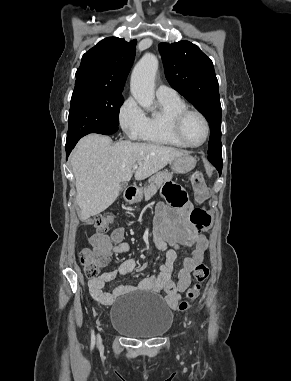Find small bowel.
<instances>
[{"label": "small bowel", "instance_id": "1", "mask_svg": "<svg viewBox=\"0 0 291 381\" xmlns=\"http://www.w3.org/2000/svg\"><path fill=\"white\" fill-rule=\"evenodd\" d=\"M170 204L161 203L156 208L153 230V242L159 251L165 252V259L160 266L159 273L142 279L138 285H119L111 292L105 291L107 283L118 275L129 274L135 269V260L128 258L117 270L103 272L88 281V288L92 298L102 305H110L114 299L134 290L151 291L164 294L166 304L173 310L178 306L181 294L191 283V273L200 264L208 248V240L190 228L189 214L191 205L186 201L184 192L180 188L168 187L165 191ZM174 196L183 199L182 204L175 205L171 201ZM95 251L114 252L122 254L130 249L129 243L124 241V229L118 227L111 234H93L88 239ZM179 246H189L192 253L185 257L178 272V281L172 280L174 262L178 257Z\"/></svg>", "mask_w": 291, "mask_h": 381}]
</instances>
